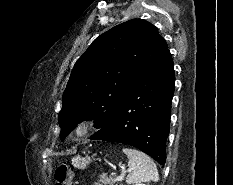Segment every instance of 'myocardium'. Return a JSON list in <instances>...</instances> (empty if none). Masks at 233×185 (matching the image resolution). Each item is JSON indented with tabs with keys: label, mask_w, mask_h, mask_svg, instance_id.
Returning a JSON list of instances; mask_svg holds the SVG:
<instances>
[{
	"label": "myocardium",
	"mask_w": 233,
	"mask_h": 185,
	"mask_svg": "<svg viewBox=\"0 0 233 185\" xmlns=\"http://www.w3.org/2000/svg\"><path fill=\"white\" fill-rule=\"evenodd\" d=\"M92 121L88 118H82L77 120L72 128V133L77 138L85 137L92 129Z\"/></svg>",
	"instance_id": "f54148a6"
}]
</instances>
